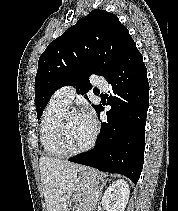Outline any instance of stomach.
<instances>
[{
  "instance_id": "0dacf381",
  "label": "stomach",
  "mask_w": 178,
  "mask_h": 211,
  "mask_svg": "<svg viewBox=\"0 0 178 211\" xmlns=\"http://www.w3.org/2000/svg\"><path fill=\"white\" fill-rule=\"evenodd\" d=\"M100 181V173L92 168H84L79 177L75 190L71 195L68 211H75L78 202L81 200L83 194L91 189H96Z\"/></svg>"
}]
</instances>
